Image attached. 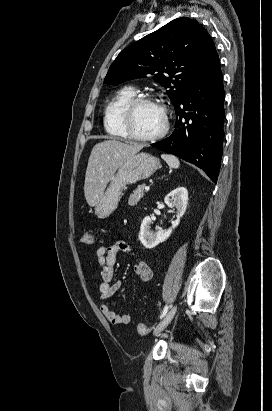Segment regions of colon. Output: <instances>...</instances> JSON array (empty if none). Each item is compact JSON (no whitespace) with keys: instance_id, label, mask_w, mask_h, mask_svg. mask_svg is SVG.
<instances>
[{"instance_id":"obj_1","label":"colon","mask_w":272,"mask_h":411,"mask_svg":"<svg viewBox=\"0 0 272 411\" xmlns=\"http://www.w3.org/2000/svg\"><path fill=\"white\" fill-rule=\"evenodd\" d=\"M81 242L85 245H91L94 243V236L91 233H86L82 236L81 238ZM137 332L141 335V336H146L151 332V328L148 327L147 325L143 324V323H139L137 325Z\"/></svg>"}]
</instances>
